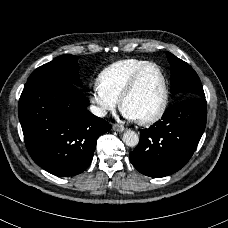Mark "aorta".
Segmentation results:
<instances>
[{"label": "aorta", "mask_w": 228, "mask_h": 228, "mask_svg": "<svg viewBox=\"0 0 228 228\" xmlns=\"http://www.w3.org/2000/svg\"><path fill=\"white\" fill-rule=\"evenodd\" d=\"M123 142L129 147H135L139 143V136L136 132L128 130L123 134Z\"/></svg>", "instance_id": "1"}]
</instances>
